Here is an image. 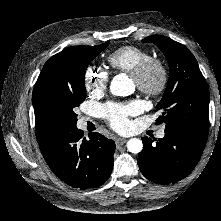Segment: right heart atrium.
<instances>
[{"instance_id": "d8ad5b80", "label": "right heart atrium", "mask_w": 221, "mask_h": 221, "mask_svg": "<svg viewBox=\"0 0 221 221\" xmlns=\"http://www.w3.org/2000/svg\"><path fill=\"white\" fill-rule=\"evenodd\" d=\"M109 84L108 73L100 67L89 65L84 71V85L89 93L96 94L106 90Z\"/></svg>"}]
</instances>
